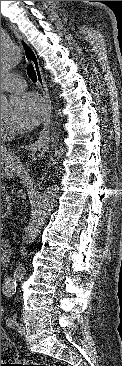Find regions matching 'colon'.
Segmentation results:
<instances>
[{
	"mask_svg": "<svg viewBox=\"0 0 122 366\" xmlns=\"http://www.w3.org/2000/svg\"><path fill=\"white\" fill-rule=\"evenodd\" d=\"M1 358L7 360H16L17 354L13 344L5 337L1 330ZM9 366H55L47 363H39L29 360H24L14 364H7Z\"/></svg>",
	"mask_w": 122,
	"mask_h": 366,
	"instance_id": "5ec220e1",
	"label": "colon"
}]
</instances>
